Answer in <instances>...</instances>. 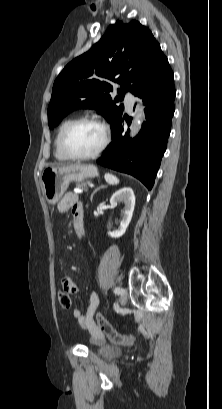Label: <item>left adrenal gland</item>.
<instances>
[{"label": "left adrenal gland", "mask_w": 222, "mask_h": 409, "mask_svg": "<svg viewBox=\"0 0 222 409\" xmlns=\"http://www.w3.org/2000/svg\"><path fill=\"white\" fill-rule=\"evenodd\" d=\"M101 188H104V186L101 185V186L97 187V188L92 192L91 197H90L91 202H92V200H93L94 194H95L98 190H100Z\"/></svg>", "instance_id": "left-adrenal-gland-1"}]
</instances>
